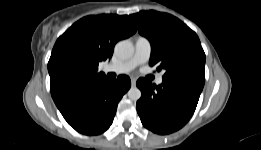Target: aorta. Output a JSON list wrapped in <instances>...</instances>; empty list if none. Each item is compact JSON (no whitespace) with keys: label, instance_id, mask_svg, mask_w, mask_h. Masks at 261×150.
<instances>
[{"label":"aorta","instance_id":"1","mask_svg":"<svg viewBox=\"0 0 261 150\" xmlns=\"http://www.w3.org/2000/svg\"><path fill=\"white\" fill-rule=\"evenodd\" d=\"M114 51L119 58L128 59L134 54V46L129 40H122L115 45ZM127 94L133 101H137L141 97V91L137 87H131Z\"/></svg>","mask_w":261,"mask_h":150}]
</instances>
